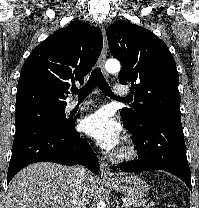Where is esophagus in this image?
<instances>
[{"label":"esophagus","instance_id":"obj_1","mask_svg":"<svg viewBox=\"0 0 199 208\" xmlns=\"http://www.w3.org/2000/svg\"><path fill=\"white\" fill-rule=\"evenodd\" d=\"M101 30H102V35H103V49L99 58V67L104 71V65H105L106 57H107L108 44H107V38H106V30L103 25L101 26ZM104 74L107 76L105 71H104ZM100 174H101V177L103 178H114L113 173L110 171V167L103 160H100Z\"/></svg>","mask_w":199,"mask_h":208}]
</instances>
